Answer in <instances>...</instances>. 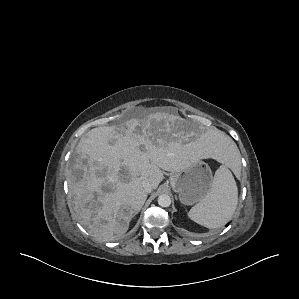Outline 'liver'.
I'll use <instances>...</instances> for the list:
<instances>
[{"label":"liver","instance_id":"1","mask_svg":"<svg viewBox=\"0 0 299 299\" xmlns=\"http://www.w3.org/2000/svg\"><path fill=\"white\" fill-rule=\"evenodd\" d=\"M235 149L224 132L195 134L184 119L165 112L91 129L79 141L68 173L76 219L93 236L117 240L147 199L144 180L156 189L162 170L183 171L206 158L225 161ZM73 171H81L80 177Z\"/></svg>","mask_w":299,"mask_h":299}]
</instances>
